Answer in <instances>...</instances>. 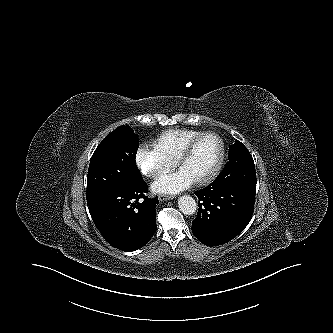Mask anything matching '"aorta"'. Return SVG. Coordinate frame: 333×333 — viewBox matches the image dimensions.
<instances>
[{"label": "aorta", "instance_id": "obj_1", "mask_svg": "<svg viewBox=\"0 0 333 333\" xmlns=\"http://www.w3.org/2000/svg\"><path fill=\"white\" fill-rule=\"evenodd\" d=\"M178 207L185 215H192L196 212V201L189 195H183L178 199Z\"/></svg>", "mask_w": 333, "mask_h": 333}]
</instances>
